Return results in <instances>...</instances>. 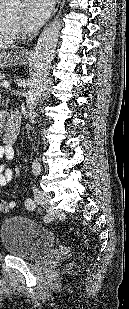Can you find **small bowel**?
Here are the masks:
<instances>
[{"label": "small bowel", "mask_w": 129, "mask_h": 309, "mask_svg": "<svg viewBox=\"0 0 129 309\" xmlns=\"http://www.w3.org/2000/svg\"><path fill=\"white\" fill-rule=\"evenodd\" d=\"M14 156L13 147L7 144L0 145V158L5 157L11 160ZM13 177L12 168L7 164H0V186L7 185Z\"/></svg>", "instance_id": "small-bowel-1"}]
</instances>
